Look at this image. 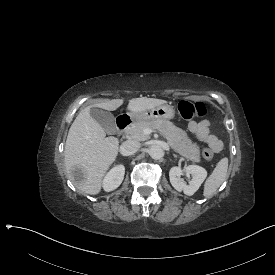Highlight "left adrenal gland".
<instances>
[{
    "label": "left adrenal gland",
    "mask_w": 275,
    "mask_h": 275,
    "mask_svg": "<svg viewBox=\"0 0 275 275\" xmlns=\"http://www.w3.org/2000/svg\"><path fill=\"white\" fill-rule=\"evenodd\" d=\"M173 156H174L175 158H177V155H176V154H173Z\"/></svg>",
    "instance_id": "1"
}]
</instances>
